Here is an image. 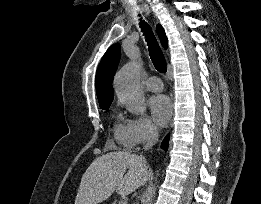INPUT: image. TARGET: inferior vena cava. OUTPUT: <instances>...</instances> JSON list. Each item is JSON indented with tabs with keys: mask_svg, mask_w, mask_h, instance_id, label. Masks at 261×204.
I'll return each mask as SVG.
<instances>
[{
	"mask_svg": "<svg viewBox=\"0 0 261 204\" xmlns=\"http://www.w3.org/2000/svg\"><path fill=\"white\" fill-rule=\"evenodd\" d=\"M158 137H159V134H158L157 128L152 127L149 131V135H148V138H147V142L144 146V149L145 150L150 149L158 141ZM139 158L143 163H146V159H145L144 156L140 155Z\"/></svg>",
	"mask_w": 261,
	"mask_h": 204,
	"instance_id": "obj_1",
	"label": "inferior vena cava"
}]
</instances>
